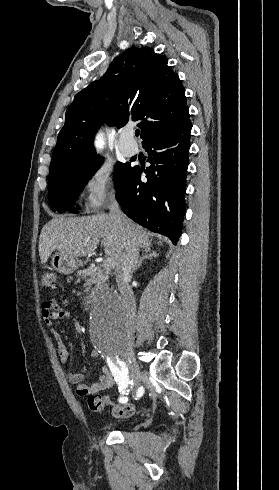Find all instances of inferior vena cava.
<instances>
[{
    "instance_id": "obj_1",
    "label": "inferior vena cava",
    "mask_w": 279,
    "mask_h": 490,
    "mask_svg": "<svg viewBox=\"0 0 279 490\" xmlns=\"http://www.w3.org/2000/svg\"><path fill=\"white\" fill-rule=\"evenodd\" d=\"M109 210V216L111 220H113L115 226L122 228V226L128 224V220L125 214L121 212L120 206L115 198H111ZM138 258L139 246L133 236H130V240L127 242V248H125L124 260L117 268L116 284L121 294L122 306L127 318V324L132 330L136 322V302L133 290L129 286V282L132 278L134 268L138 264Z\"/></svg>"
}]
</instances>
